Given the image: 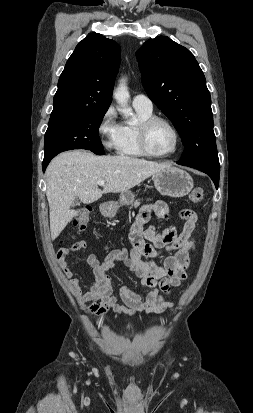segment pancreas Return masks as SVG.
<instances>
[{
  "instance_id": "obj_1",
  "label": "pancreas",
  "mask_w": 253,
  "mask_h": 413,
  "mask_svg": "<svg viewBox=\"0 0 253 413\" xmlns=\"http://www.w3.org/2000/svg\"><path fill=\"white\" fill-rule=\"evenodd\" d=\"M140 205V201L139 200H136L133 204H132V206L130 207V208H132L133 206L134 207H137V206H139Z\"/></svg>"
}]
</instances>
